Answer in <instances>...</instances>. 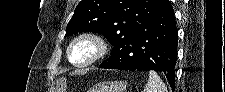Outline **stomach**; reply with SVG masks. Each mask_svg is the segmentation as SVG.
<instances>
[{"mask_svg":"<svg viewBox=\"0 0 225 92\" xmlns=\"http://www.w3.org/2000/svg\"><path fill=\"white\" fill-rule=\"evenodd\" d=\"M126 88V81L104 82L93 87L89 92H125Z\"/></svg>","mask_w":225,"mask_h":92,"instance_id":"0dacf381","label":"stomach"}]
</instances>
